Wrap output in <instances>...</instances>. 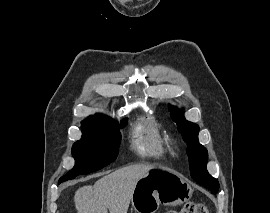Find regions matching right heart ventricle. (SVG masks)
I'll return each mask as SVG.
<instances>
[{
	"label": "right heart ventricle",
	"instance_id": "obj_1",
	"mask_svg": "<svg viewBox=\"0 0 270 213\" xmlns=\"http://www.w3.org/2000/svg\"><path fill=\"white\" fill-rule=\"evenodd\" d=\"M170 147L169 136L160 129L153 117H144L135 124L132 148L137 154L159 158L166 155Z\"/></svg>",
	"mask_w": 270,
	"mask_h": 213
}]
</instances>
